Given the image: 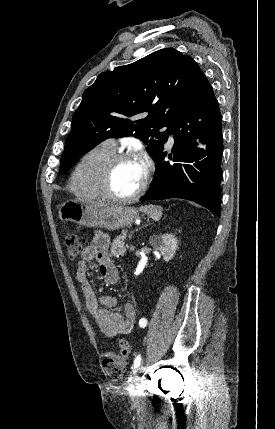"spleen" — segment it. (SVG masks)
Masks as SVG:
<instances>
[{
	"label": "spleen",
	"mask_w": 275,
	"mask_h": 429,
	"mask_svg": "<svg viewBox=\"0 0 275 429\" xmlns=\"http://www.w3.org/2000/svg\"><path fill=\"white\" fill-rule=\"evenodd\" d=\"M141 212L146 213L153 220L158 221L162 216V207L158 205H146L139 208Z\"/></svg>",
	"instance_id": "3e777b00"
}]
</instances>
